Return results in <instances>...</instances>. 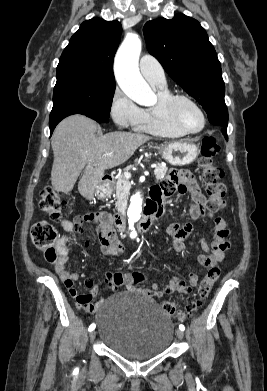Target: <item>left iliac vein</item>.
<instances>
[{"label":"left iliac vein","instance_id":"left-iliac-vein-1","mask_svg":"<svg viewBox=\"0 0 267 391\" xmlns=\"http://www.w3.org/2000/svg\"><path fill=\"white\" fill-rule=\"evenodd\" d=\"M176 335H177V337H178L179 339H182V338L184 337V333H183V331L180 330V329H177V330H176Z\"/></svg>","mask_w":267,"mask_h":391}]
</instances>
